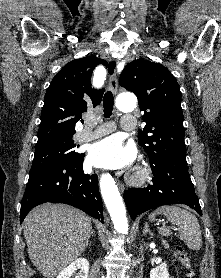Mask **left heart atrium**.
<instances>
[{"label": "left heart atrium", "instance_id": "left-heart-atrium-1", "mask_svg": "<svg viewBox=\"0 0 221 278\" xmlns=\"http://www.w3.org/2000/svg\"><path fill=\"white\" fill-rule=\"evenodd\" d=\"M134 157V149L125 147L117 136H110L96 142L89 150L88 159L91 164L105 168H122Z\"/></svg>", "mask_w": 221, "mask_h": 278}]
</instances>
